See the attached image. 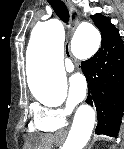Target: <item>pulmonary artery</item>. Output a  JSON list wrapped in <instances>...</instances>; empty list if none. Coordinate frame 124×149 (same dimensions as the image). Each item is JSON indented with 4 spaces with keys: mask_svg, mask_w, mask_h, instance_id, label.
<instances>
[{
    "mask_svg": "<svg viewBox=\"0 0 124 149\" xmlns=\"http://www.w3.org/2000/svg\"><path fill=\"white\" fill-rule=\"evenodd\" d=\"M65 68L68 72H71L74 70V65L70 59L65 60Z\"/></svg>",
    "mask_w": 124,
    "mask_h": 149,
    "instance_id": "pulmonary-artery-1",
    "label": "pulmonary artery"
}]
</instances>
